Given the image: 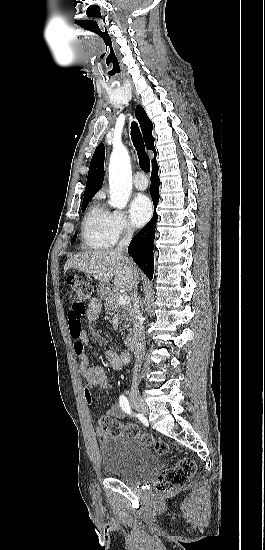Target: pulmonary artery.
Returning <instances> with one entry per match:
<instances>
[{"label": "pulmonary artery", "instance_id": "obj_1", "mask_svg": "<svg viewBox=\"0 0 265 550\" xmlns=\"http://www.w3.org/2000/svg\"><path fill=\"white\" fill-rule=\"evenodd\" d=\"M133 185L138 190H144L148 186V181L143 172H137L133 179Z\"/></svg>", "mask_w": 265, "mask_h": 550}]
</instances>
